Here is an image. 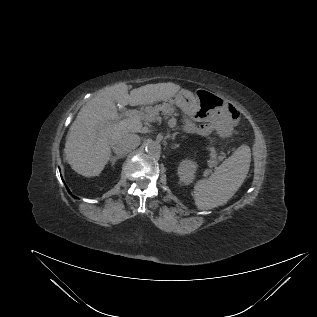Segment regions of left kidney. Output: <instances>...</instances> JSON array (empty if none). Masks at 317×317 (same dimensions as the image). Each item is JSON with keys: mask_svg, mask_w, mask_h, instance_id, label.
Returning <instances> with one entry per match:
<instances>
[{"mask_svg": "<svg viewBox=\"0 0 317 317\" xmlns=\"http://www.w3.org/2000/svg\"><path fill=\"white\" fill-rule=\"evenodd\" d=\"M196 169V162L192 160H183L178 167V176L180 180L185 185H189L190 183H192L195 177Z\"/></svg>", "mask_w": 317, "mask_h": 317, "instance_id": "obj_1", "label": "left kidney"}]
</instances>
